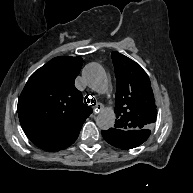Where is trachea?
Instances as JSON below:
<instances>
[{"label": "trachea", "instance_id": "1", "mask_svg": "<svg viewBox=\"0 0 193 193\" xmlns=\"http://www.w3.org/2000/svg\"><path fill=\"white\" fill-rule=\"evenodd\" d=\"M88 96L89 95H87L86 97H85V100H84V102L87 104V103H91L92 105H90V106H94L95 104H96V100L95 99H89L88 98ZM94 103V104H93Z\"/></svg>", "mask_w": 193, "mask_h": 193}]
</instances>
